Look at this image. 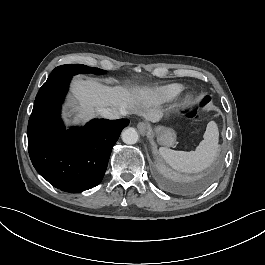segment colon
Returning <instances> with one entry per match:
<instances>
[{"label":"colon","mask_w":265,"mask_h":265,"mask_svg":"<svg viewBox=\"0 0 265 265\" xmlns=\"http://www.w3.org/2000/svg\"><path fill=\"white\" fill-rule=\"evenodd\" d=\"M200 110L199 105L194 104L190 107V109L185 110L184 115L187 118L193 117L195 114H197Z\"/></svg>","instance_id":"1"}]
</instances>
